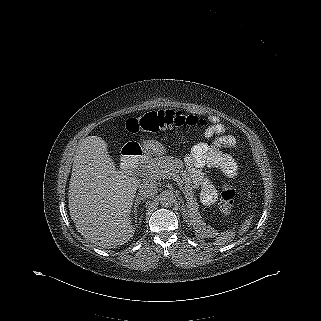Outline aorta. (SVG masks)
<instances>
[{"label": "aorta", "instance_id": "obj_1", "mask_svg": "<svg viewBox=\"0 0 321 321\" xmlns=\"http://www.w3.org/2000/svg\"><path fill=\"white\" fill-rule=\"evenodd\" d=\"M160 204L164 207H171L176 201L175 194L171 191H163L159 196Z\"/></svg>", "mask_w": 321, "mask_h": 321}]
</instances>
